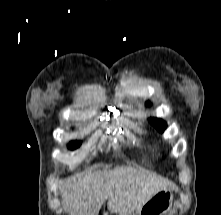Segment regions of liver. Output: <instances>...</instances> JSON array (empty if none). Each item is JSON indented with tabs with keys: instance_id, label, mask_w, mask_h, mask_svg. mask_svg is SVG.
<instances>
[{
	"instance_id": "liver-1",
	"label": "liver",
	"mask_w": 221,
	"mask_h": 215,
	"mask_svg": "<svg viewBox=\"0 0 221 215\" xmlns=\"http://www.w3.org/2000/svg\"><path fill=\"white\" fill-rule=\"evenodd\" d=\"M168 188L174 185L161 177L121 166L71 178L62 188V200L70 215H98L106 200L111 213H131Z\"/></svg>"
}]
</instances>
